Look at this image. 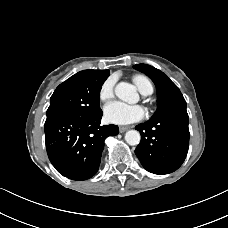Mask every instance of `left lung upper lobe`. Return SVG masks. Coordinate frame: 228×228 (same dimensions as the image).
<instances>
[{
    "label": "left lung upper lobe",
    "mask_w": 228,
    "mask_h": 228,
    "mask_svg": "<svg viewBox=\"0 0 228 228\" xmlns=\"http://www.w3.org/2000/svg\"><path fill=\"white\" fill-rule=\"evenodd\" d=\"M134 68L145 73L154 82L157 89L158 109L150 120H155L168 110L186 104V101L179 88L160 70L147 65L137 64Z\"/></svg>",
    "instance_id": "obj_1"
}]
</instances>
